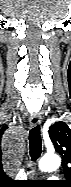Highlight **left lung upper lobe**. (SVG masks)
<instances>
[{
    "label": "left lung upper lobe",
    "instance_id": "left-lung-upper-lobe-1",
    "mask_svg": "<svg viewBox=\"0 0 71 187\" xmlns=\"http://www.w3.org/2000/svg\"><path fill=\"white\" fill-rule=\"evenodd\" d=\"M51 141L56 152L62 156L64 174L68 179L65 183H70L71 178V129L64 122H56L49 129Z\"/></svg>",
    "mask_w": 71,
    "mask_h": 187
}]
</instances>
